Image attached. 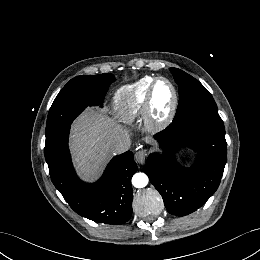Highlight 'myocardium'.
<instances>
[{"label":"myocardium","instance_id":"1","mask_svg":"<svg viewBox=\"0 0 260 260\" xmlns=\"http://www.w3.org/2000/svg\"><path fill=\"white\" fill-rule=\"evenodd\" d=\"M160 81L167 83L173 93V103L171 109L168 115L163 119L156 118L154 113V107H153V98H154L155 90L157 84ZM178 106H179V95L175 85L168 78L157 77L153 81V83L151 84L148 90L144 108H143V120H144L145 127L151 132H160L165 130L174 121Z\"/></svg>","mask_w":260,"mask_h":260}]
</instances>
